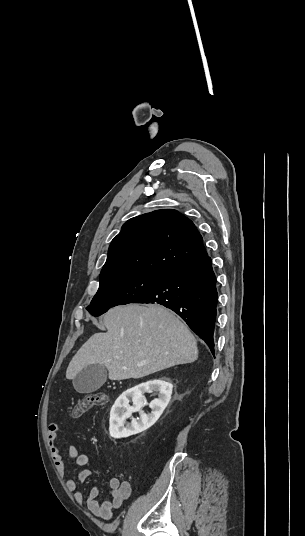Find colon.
<instances>
[{
  "label": "colon",
  "instance_id": "obj_1",
  "mask_svg": "<svg viewBox=\"0 0 305 536\" xmlns=\"http://www.w3.org/2000/svg\"><path fill=\"white\" fill-rule=\"evenodd\" d=\"M107 402V395L104 392H94L85 395L78 400L71 410V417L80 418L94 406L103 405Z\"/></svg>",
  "mask_w": 305,
  "mask_h": 536
}]
</instances>
